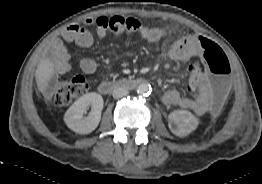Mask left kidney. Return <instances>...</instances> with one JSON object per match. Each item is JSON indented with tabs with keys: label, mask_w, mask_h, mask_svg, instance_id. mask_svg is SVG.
Instances as JSON below:
<instances>
[{
	"label": "left kidney",
	"mask_w": 262,
	"mask_h": 184,
	"mask_svg": "<svg viewBox=\"0 0 262 184\" xmlns=\"http://www.w3.org/2000/svg\"><path fill=\"white\" fill-rule=\"evenodd\" d=\"M198 124V119L187 110H175L168 116L169 129L178 137L188 136Z\"/></svg>",
	"instance_id": "1"
}]
</instances>
